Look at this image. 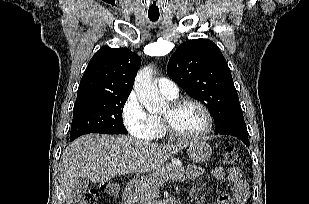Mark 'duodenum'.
<instances>
[{
  "label": "duodenum",
  "mask_w": 309,
  "mask_h": 204,
  "mask_svg": "<svg viewBox=\"0 0 309 204\" xmlns=\"http://www.w3.org/2000/svg\"><path fill=\"white\" fill-rule=\"evenodd\" d=\"M136 187L137 181L135 179H131L127 182L123 192V199L121 204H132L135 196Z\"/></svg>",
  "instance_id": "duodenum-1"
}]
</instances>
